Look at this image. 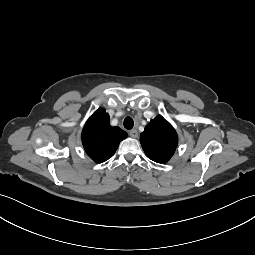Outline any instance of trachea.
<instances>
[{"mask_svg": "<svg viewBox=\"0 0 255 255\" xmlns=\"http://www.w3.org/2000/svg\"><path fill=\"white\" fill-rule=\"evenodd\" d=\"M134 126V121L131 117H126L124 119V127L128 130L132 129Z\"/></svg>", "mask_w": 255, "mask_h": 255, "instance_id": "1", "label": "trachea"}]
</instances>
